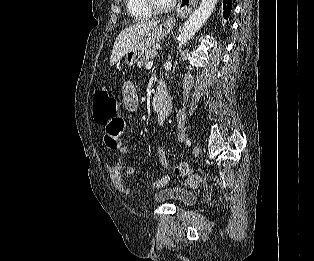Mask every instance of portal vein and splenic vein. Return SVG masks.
I'll list each match as a JSON object with an SVG mask.
<instances>
[{
  "label": "portal vein and splenic vein",
  "mask_w": 314,
  "mask_h": 261,
  "mask_svg": "<svg viewBox=\"0 0 314 261\" xmlns=\"http://www.w3.org/2000/svg\"><path fill=\"white\" fill-rule=\"evenodd\" d=\"M152 66H153V62H148V63L146 64V68H147V69H151Z\"/></svg>",
  "instance_id": "obj_1"
}]
</instances>
